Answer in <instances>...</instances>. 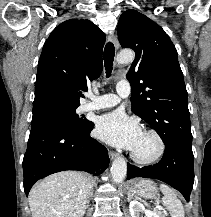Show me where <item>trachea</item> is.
I'll return each mask as SVG.
<instances>
[{
    "label": "trachea",
    "mask_w": 211,
    "mask_h": 217,
    "mask_svg": "<svg viewBox=\"0 0 211 217\" xmlns=\"http://www.w3.org/2000/svg\"><path fill=\"white\" fill-rule=\"evenodd\" d=\"M115 56V48L112 42H108L104 49V65L106 69V76L111 75L113 69V61Z\"/></svg>",
    "instance_id": "trachea-1"
}]
</instances>
